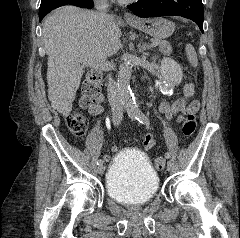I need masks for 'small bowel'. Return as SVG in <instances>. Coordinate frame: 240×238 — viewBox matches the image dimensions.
I'll return each mask as SVG.
<instances>
[{
  "instance_id": "small-bowel-1",
  "label": "small bowel",
  "mask_w": 240,
  "mask_h": 238,
  "mask_svg": "<svg viewBox=\"0 0 240 238\" xmlns=\"http://www.w3.org/2000/svg\"><path fill=\"white\" fill-rule=\"evenodd\" d=\"M104 101V96L99 95L95 102L88 108L89 112L92 115L98 116L101 115L104 111L101 102ZM189 98H179L175 101L169 102L164 101L158 107V112L163 114L167 119L171 120L174 117H177V121H182L188 115H195L200 108V103L196 99H192L190 102ZM155 143V139L152 135H147L143 141V146L145 149L150 148ZM110 150L113 151L114 154H117L118 151L122 150L121 146H111ZM111 155L110 154H102L103 162H110Z\"/></svg>"
}]
</instances>
